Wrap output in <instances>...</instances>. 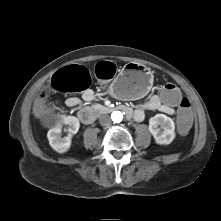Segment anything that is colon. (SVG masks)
Instances as JSON below:
<instances>
[{
  "mask_svg": "<svg viewBox=\"0 0 221 221\" xmlns=\"http://www.w3.org/2000/svg\"><path fill=\"white\" fill-rule=\"evenodd\" d=\"M116 73V66L112 62L102 61L96 65L95 74L98 79L110 80ZM91 84L89 71L80 65H72L57 71L51 78L50 87L46 89L42 98L35 101V118L45 110L54 109L62 113V109L57 104H52L48 108L45 106L44 97L50 89L70 93L88 89ZM159 99L169 108H178V120L176 122L175 133L180 138L189 135L192 127L191 105L187 98L182 97L181 90L175 84H165L159 90Z\"/></svg>",
  "mask_w": 221,
  "mask_h": 221,
  "instance_id": "colon-1",
  "label": "colon"
}]
</instances>
